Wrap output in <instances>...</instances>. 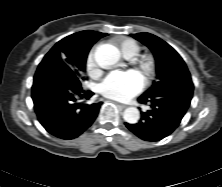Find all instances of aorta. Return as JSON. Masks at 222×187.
<instances>
[{
  "label": "aorta",
  "mask_w": 222,
  "mask_h": 187,
  "mask_svg": "<svg viewBox=\"0 0 222 187\" xmlns=\"http://www.w3.org/2000/svg\"><path fill=\"white\" fill-rule=\"evenodd\" d=\"M96 63L104 69L114 66L120 59V53L116 47L110 44H102L97 47L95 54ZM124 120L129 124H135L140 118V112L135 107H128L123 113Z\"/></svg>",
  "instance_id": "aorta-1"
}]
</instances>
